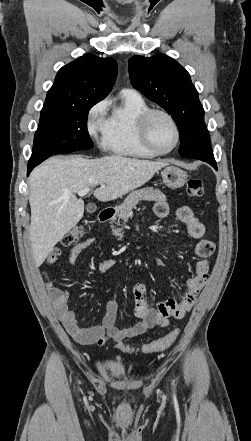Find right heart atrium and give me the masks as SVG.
Wrapping results in <instances>:
<instances>
[{"label": "right heart atrium", "instance_id": "right-heart-atrium-1", "mask_svg": "<svg viewBox=\"0 0 251 441\" xmlns=\"http://www.w3.org/2000/svg\"><path fill=\"white\" fill-rule=\"evenodd\" d=\"M107 107L108 102L106 100L99 101L90 108L86 120V127L89 135L102 145L107 124Z\"/></svg>", "mask_w": 251, "mask_h": 441}]
</instances>
